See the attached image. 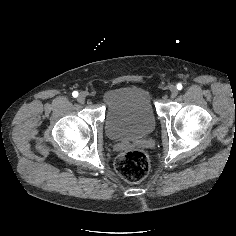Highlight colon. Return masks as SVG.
<instances>
[{
    "label": "colon",
    "instance_id": "1",
    "mask_svg": "<svg viewBox=\"0 0 236 236\" xmlns=\"http://www.w3.org/2000/svg\"><path fill=\"white\" fill-rule=\"evenodd\" d=\"M115 169L124 180L132 183L139 182L149 173V158L139 150L125 151L117 158Z\"/></svg>",
    "mask_w": 236,
    "mask_h": 236
}]
</instances>
